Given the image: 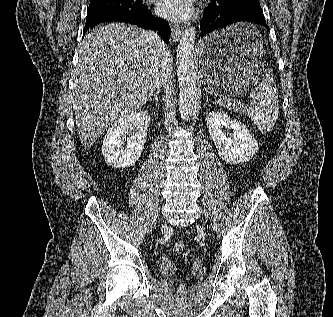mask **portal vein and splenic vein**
Listing matches in <instances>:
<instances>
[{"label": "portal vein and splenic vein", "instance_id": "1", "mask_svg": "<svg viewBox=\"0 0 333 317\" xmlns=\"http://www.w3.org/2000/svg\"><path fill=\"white\" fill-rule=\"evenodd\" d=\"M219 103H221V102L219 101ZM233 103H234V104H238V105H239V102H235V101H233Z\"/></svg>", "mask_w": 333, "mask_h": 317}]
</instances>
